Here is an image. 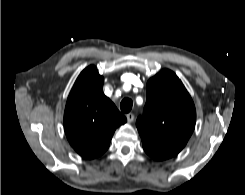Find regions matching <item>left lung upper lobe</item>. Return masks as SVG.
Wrapping results in <instances>:
<instances>
[{
  "label": "left lung upper lobe",
  "instance_id": "obj_1",
  "mask_svg": "<svg viewBox=\"0 0 245 195\" xmlns=\"http://www.w3.org/2000/svg\"><path fill=\"white\" fill-rule=\"evenodd\" d=\"M146 89V116L136 122L142 142L154 150L176 155L195 128L192 98L177 75L168 69L152 77Z\"/></svg>",
  "mask_w": 245,
  "mask_h": 195
}]
</instances>
